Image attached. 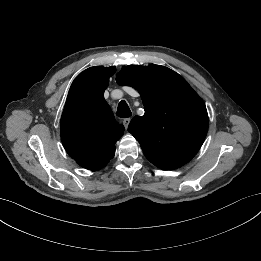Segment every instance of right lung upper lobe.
I'll return each mask as SVG.
<instances>
[{
  "mask_svg": "<svg viewBox=\"0 0 261 261\" xmlns=\"http://www.w3.org/2000/svg\"><path fill=\"white\" fill-rule=\"evenodd\" d=\"M115 67H90L72 83L61 117V140L67 153L81 167L98 170L115 154V143L123 135L104 99V91Z\"/></svg>",
  "mask_w": 261,
  "mask_h": 261,
  "instance_id": "1",
  "label": "right lung upper lobe"
}]
</instances>
